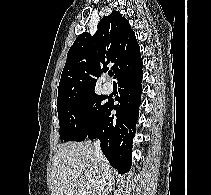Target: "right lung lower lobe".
Returning a JSON list of instances; mask_svg holds the SVG:
<instances>
[{"label": "right lung lower lobe", "mask_w": 211, "mask_h": 195, "mask_svg": "<svg viewBox=\"0 0 211 195\" xmlns=\"http://www.w3.org/2000/svg\"><path fill=\"white\" fill-rule=\"evenodd\" d=\"M142 76L141 63L117 78L119 96L115 100L118 104L106 102L98 120L85 137L100 139L103 154L118 173H126L131 167V147L141 103ZM113 109L116 110L115 115L111 114Z\"/></svg>", "instance_id": "obj_1"}]
</instances>
